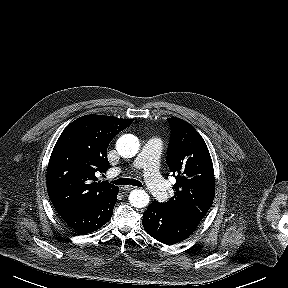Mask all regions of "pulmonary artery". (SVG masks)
<instances>
[{
    "label": "pulmonary artery",
    "mask_w": 288,
    "mask_h": 288,
    "mask_svg": "<svg viewBox=\"0 0 288 288\" xmlns=\"http://www.w3.org/2000/svg\"><path fill=\"white\" fill-rule=\"evenodd\" d=\"M161 148L160 139L151 138L143 146L133 164L134 168L143 170L145 183L149 191L159 200L165 199L168 195L167 185L159 173Z\"/></svg>",
    "instance_id": "e3ab8cb5"
}]
</instances>
